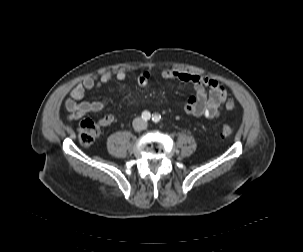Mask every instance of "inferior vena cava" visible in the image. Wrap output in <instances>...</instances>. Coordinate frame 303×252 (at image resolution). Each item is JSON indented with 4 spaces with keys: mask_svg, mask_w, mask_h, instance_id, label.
<instances>
[{
    "mask_svg": "<svg viewBox=\"0 0 303 252\" xmlns=\"http://www.w3.org/2000/svg\"><path fill=\"white\" fill-rule=\"evenodd\" d=\"M133 127L135 130H143L146 127V122L139 117L135 118L133 120Z\"/></svg>",
    "mask_w": 303,
    "mask_h": 252,
    "instance_id": "602c4592",
    "label": "inferior vena cava"
}]
</instances>
